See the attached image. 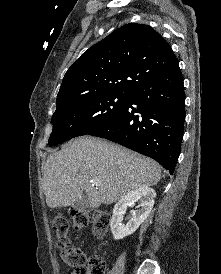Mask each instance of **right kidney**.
<instances>
[{
  "instance_id": "ca27d5eb",
  "label": "right kidney",
  "mask_w": 221,
  "mask_h": 274,
  "mask_svg": "<svg viewBox=\"0 0 221 274\" xmlns=\"http://www.w3.org/2000/svg\"><path fill=\"white\" fill-rule=\"evenodd\" d=\"M155 197L156 193L152 188L141 187L128 193L115 205L110 220L111 232L115 240L123 239L139 228L150 214ZM136 201H139V209L132 211V217L126 226L122 225L123 215L127 207H133Z\"/></svg>"
}]
</instances>
